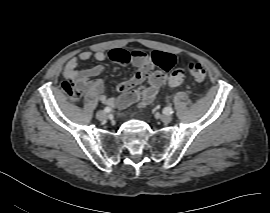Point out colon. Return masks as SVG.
<instances>
[{
	"label": "colon",
	"mask_w": 270,
	"mask_h": 213,
	"mask_svg": "<svg viewBox=\"0 0 270 213\" xmlns=\"http://www.w3.org/2000/svg\"><path fill=\"white\" fill-rule=\"evenodd\" d=\"M140 53H144L141 50H132L126 51L123 49H115L110 52V57L112 60L119 63L128 62L132 56H137ZM145 54V53H144ZM146 55V54H145ZM150 60H152L155 64L161 65L165 69H170L172 67L173 58L169 54L165 53H156L152 56L146 55ZM188 70L190 75L196 81H203L206 78V71L202 65L196 62H190L188 64ZM142 78L147 77L150 74V67H143L138 73ZM184 80V74L181 69L172 70L169 78V85L171 87H177L182 84ZM68 97L76 101L79 97L73 92V90L69 86L64 87Z\"/></svg>",
	"instance_id": "obj_1"
}]
</instances>
